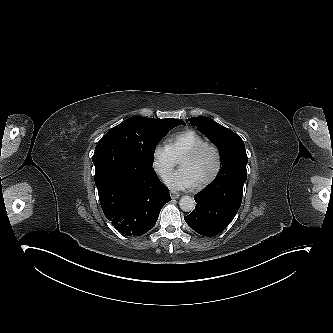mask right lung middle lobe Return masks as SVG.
I'll use <instances>...</instances> for the list:
<instances>
[{"instance_id": "1", "label": "right lung middle lobe", "mask_w": 333, "mask_h": 333, "mask_svg": "<svg viewBox=\"0 0 333 333\" xmlns=\"http://www.w3.org/2000/svg\"><path fill=\"white\" fill-rule=\"evenodd\" d=\"M185 123L176 119L131 117L111 128L102 138H112L128 147L138 159L150 168L153 166L157 143L167 132Z\"/></svg>"}]
</instances>
